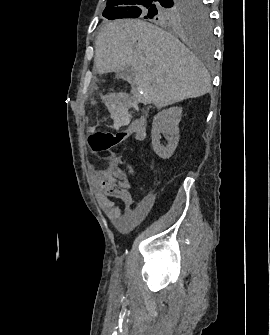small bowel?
I'll use <instances>...</instances> for the list:
<instances>
[{"label": "small bowel", "instance_id": "c3829d8e", "mask_svg": "<svg viewBox=\"0 0 270 335\" xmlns=\"http://www.w3.org/2000/svg\"><path fill=\"white\" fill-rule=\"evenodd\" d=\"M140 132V138L145 136L144 122L134 123ZM120 165H127L128 169H141V162H130L129 158L116 156L113 159L100 158L96 162V169H102L97 175L99 192L97 199L103 207L108 219L120 230H128L141 219V212L135 207L131 194V187L127 181L118 178H132V171L117 169ZM117 171L116 175L114 171ZM126 170V171H124Z\"/></svg>", "mask_w": 270, "mask_h": 335}]
</instances>
